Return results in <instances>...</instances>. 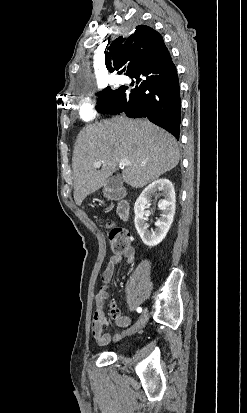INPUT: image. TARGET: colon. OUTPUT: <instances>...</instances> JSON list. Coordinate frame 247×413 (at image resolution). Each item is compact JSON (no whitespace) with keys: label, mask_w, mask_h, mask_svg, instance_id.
Wrapping results in <instances>:
<instances>
[{"label":"colon","mask_w":247,"mask_h":413,"mask_svg":"<svg viewBox=\"0 0 247 413\" xmlns=\"http://www.w3.org/2000/svg\"><path fill=\"white\" fill-rule=\"evenodd\" d=\"M108 226L110 227L109 239L114 243L117 251H123L128 244L126 229L114 221H109Z\"/></svg>","instance_id":"5ec220e1"}]
</instances>
